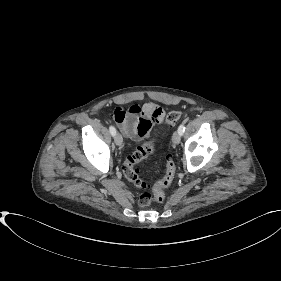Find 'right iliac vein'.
<instances>
[{
	"instance_id": "right-iliac-vein-1",
	"label": "right iliac vein",
	"mask_w": 281,
	"mask_h": 281,
	"mask_svg": "<svg viewBox=\"0 0 281 281\" xmlns=\"http://www.w3.org/2000/svg\"><path fill=\"white\" fill-rule=\"evenodd\" d=\"M114 141H115L117 146H119V147L122 146L123 138H122L121 134H119V133L115 134Z\"/></svg>"
}]
</instances>
